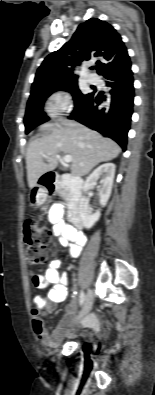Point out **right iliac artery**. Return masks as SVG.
<instances>
[{
	"label": "right iliac artery",
	"instance_id": "1",
	"mask_svg": "<svg viewBox=\"0 0 155 395\" xmlns=\"http://www.w3.org/2000/svg\"><path fill=\"white\" fill-rule=\"evenodd\" d=\"M84 300H85V294H84L83 291H81V293H80V305H82L84 303Z\"/></svg>",
	"mask_w": 155,
	"mask_h": 395
}]
</instances>
